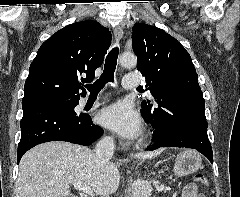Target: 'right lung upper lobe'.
<instances>
[{
  "instance_id": "cb5924a9",
  "label": "right lung upper lobe",
  "mask_w": 240,
  "mask_h": 197,
  "mask_svg": "<svg viewBox=\"0 0 240 197\" xmlns=\"http://www.w3.org/2000/svg\"><path fill=\"white\" fill-rule=\"evenodd\" d=\"M110 45V31L96 21L73 23L57 31L41 45L31 63L22 106L79 100L86 93L82 83L94 79Z\"/></svg>"
}]
</instances>
